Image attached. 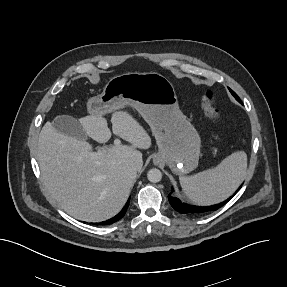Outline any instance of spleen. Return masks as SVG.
Instances as JSON below:
<instances>
[{"label":"spleen","mask_w":287,"mask_h":287,"mask_svg":"<svg viewBox=\"0 0 287 287\" xmlns=\"http://www.w3.org/2000/svg\"><path fill=\"white\" fill-rule=\"evenodd\" d=\"M247 155L237 151L223 159L216 167L191 176H180L186 196L196 204L212 205L227 199L246 176Z\"/></svg>","instance_id":"1"}]
</instances>
